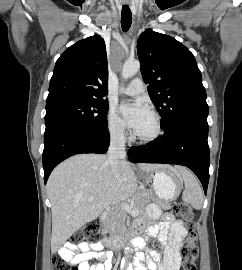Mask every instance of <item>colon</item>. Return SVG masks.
Returning <instances> with one entry per match:
<instances>
[{
    "instance_id": "1",
    "label": "colon",
    "mask_w": 242,
    "mask_h": 270,
    "mask_svg": "<svg viewBox=\"0 0 242 270\" xmlns=\"http://www.w3.org/2000/svg\"><path fill=\"white\" fill-rule=\"evenodd\" d=\"M174 213L176 216L188 224L189 233L185 239L184 245L181 249V256L183 258L182 270H196V261L199 255L197 246V237L192 227V220L194 217L192 207L184 202L175 205ZM104 233V225L99 220H92L85 224L79 231L75 232L71 239V244H82L87 241H92L100 238ZM53 270H77L73 264H69L60 253L52 258Z\"/></svg>"
}]
</instances>
